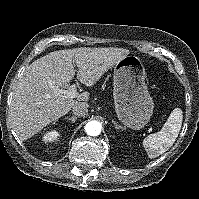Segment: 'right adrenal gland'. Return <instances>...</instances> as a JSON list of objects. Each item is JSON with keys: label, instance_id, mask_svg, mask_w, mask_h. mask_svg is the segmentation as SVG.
I'll list each match as a JSON object with an SVG mask.
<instances>
[{"label": "right adrenal gland", "instance_id": "right-adrenal-gland-1", "mask_svg": "<svg viewBox=\"0 0 199 199\" xmlns=\"http://www.w3.org/2000/svg\"><path fill=\"white\" fill-rule=\"evenodd\" d=\"M66 119H67V120H71L72 123H74V122L78 119V117H76V116H71V117H67Z\"/></svg>", "mask_w": 199, "mask_h": 199}]
</instances>
